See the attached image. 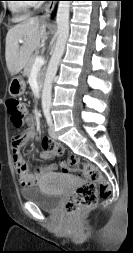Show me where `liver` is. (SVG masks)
Instances as JSON below:
<instances>
[{
  "label": "liver",
  "instance_id": "6515ba94",
  "mask_svg": "<svg viewBox=\"0 0 133 253\" xmlns=\"http://www.w3.org/2000/svg\"><path fill=\"white\" fill-rule=\"evenodd\" d=\"M46 36V24L38 18H29L12 27L6 36L5 58L12 76L23 69L40 40ZM23 40L19 46V40Z\"/></svg>",
  "mask_w": 133,
  "mask_h": 253
}]
</instances>
